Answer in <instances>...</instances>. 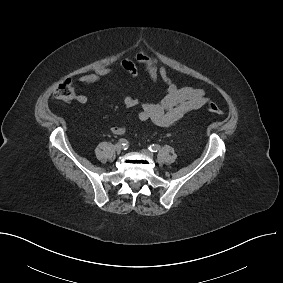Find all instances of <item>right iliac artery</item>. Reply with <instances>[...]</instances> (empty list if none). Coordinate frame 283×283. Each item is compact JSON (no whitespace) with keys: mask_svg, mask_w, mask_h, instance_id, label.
I'll list each match as a JSON object with an SVG mask.
<instances>
[{"mask_svg":"<svg viewBox=\"0 0 283 283\" xmlns=\"http://www.w3.org/2000/svg\"><path fill=\"white\" fill-rule=\"evenodd\" d=\"M118 143L123 145V146H128L129 145V142L126 139H123V138L119 139Z\"/></svg>","mask_w":283,"mask_h":283,"instance_id":"right-iliac-artery-1","label":"right iliac artery"}]
</instances>
